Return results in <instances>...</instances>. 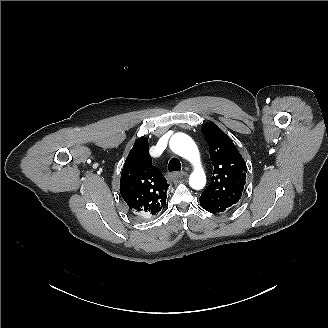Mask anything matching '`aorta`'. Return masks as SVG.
<instances>
[{
  "mask_svg": "<svg viewBox=\"0 0 328 328\" xmlns=\"http://www.w3.org/2000/svg\"><path fill=\"white\" fill-rule=\"evenodd\" d=\"M169 145L174 153L187 159L194 166V171L189 177L190 186L196 190L202 189L206 184V175L201 168L199 151L193 139L184 133H176L171 137Z\"/></svg>",
  "mask_w": 328,
  "mask_h": 328,
  "instance_id": "762f6f07",
  "label": "aorta"
}]
</instances>
